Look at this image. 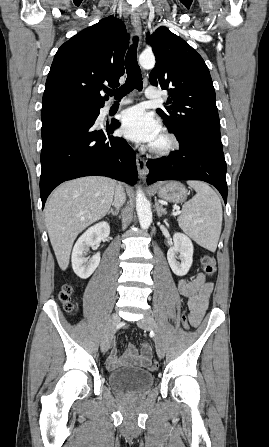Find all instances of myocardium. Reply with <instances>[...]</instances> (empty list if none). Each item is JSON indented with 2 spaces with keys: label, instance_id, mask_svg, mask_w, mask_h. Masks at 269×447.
<instances>
[{
  "label": "myocardium",
  "instance_id": "1",
  "mask_svg": "<svg viewBox=\"0 0 269 447\" xmlns=\"http://www.w3.org/2000/svg\"><path fill=\"white\" fill-rule=\"evenodd\" d=\"M162 133L167 139V145L162 149H154L149 146V153L157 159H165L172 156L180 147L178 137L168 129H164Z\"/></svg>",
  "mask_w": 269,
  "mask_h": 447
}]
</instances>
